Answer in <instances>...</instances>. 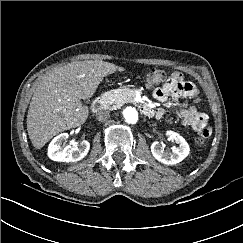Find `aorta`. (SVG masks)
<instances>
[{"instance_id": "762f6f07", "label": "aorta", "mask_w": 243, "mask_h": 243, "mask_svg": "<svg viewBox=\"0 0 243 243\" xmlns=\"http://www.w3.org/2000/svg\"><path fill=\"white\" fill-rule=\"evenodd\" d=\"M123 116L128 123L135 124L138 121V112L134 107H126L123 110Z\"/></svg>"}]
</instances>
